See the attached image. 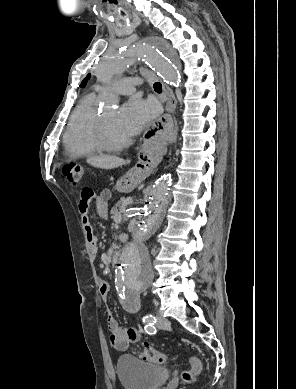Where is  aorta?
Instances as JSON below:
<instances>
[{"label": "aorta", "instance_id": "762f6f07", "mask_svg": "<svg viewBox=\"0 0 296 389\" xmlns=\"http://www.w3.org/2000/svg\"><path fill=\"white\" fill-rule=\"evenodd\" d=\"M134 62L152 66L171 85L176 86L180 82L175 56L163 40H148L107 53L97 64L95 75L98 81L107 84ZM171 185V174H165L155 182L147 199L148 203L144 206V215L131 241L120 253L115 282L123 295L140 294L152 284L155 271L149 257L147 242L164 219L170 200Z\"/></svg>", "mask_w": 296, "mask_h": 389}]
</instances>
